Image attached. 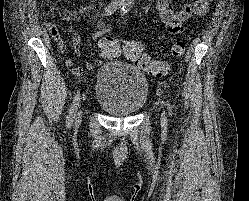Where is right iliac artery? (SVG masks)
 Here are the masks:
<instances>
[{"label": "right iliac artery", "instance_id": "obj_1", "mask_svg": "<svg viewBox=\"0 0 249 201\" xmlns=\"http://www.w3.org/2000/svg\"><path fill=\"white\" fill-rule=\"evenodd\" d=\"M124 3H125V0H114V1L110 2L108 4V6L105 8L104 15L109 16V15L113 14L117 9H119L121 6H123ZM79 101H80V93L77 92L75 97H74L73 103L70 107L69 114L67 116L66 124L68 127H70L72 125L73 120L76 116V111H77V106L79 104Z\"/></svg>", "mask_w": 249, "mask_h": 201}]
</instances>
